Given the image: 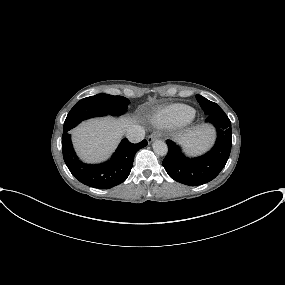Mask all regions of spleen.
Masks as SVG:
<instances>
[{"label":"spleen","instance_id":"1","mask_svg":"<svg viewBox=\"0 0 285 285\" xmlns=\"http://www.w3.org/2000/svg\"><path fill=\"white\" fill-rule=\"evenodd\" d=\"M206 145H201V146H192V145H189L187 147V150L192 153V154H197L201 151H203L205 149Z\"/></svg>","mask_w":285,"mask_h":285}]
</instances>
